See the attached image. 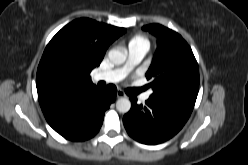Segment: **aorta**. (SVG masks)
<instances>
[{
    "instance_id": "aorta-1",
    "label": "aorta",
    "mask_w": 248,
    "mask_h": 165,
    "mask_svg": "<svg viewBox=\"0 0 248 165\" xmlns=\"http://www.w3.org/2000/svg\"><path fill=\"white\" fill-rule=\"evenodd\" d=\"M108 58L115 65H121L126 60L125 54L122 51L118 50V49H111L108 52ZM130 108H131V102H130L129 99L120 98V99L117 100L116 109L120 113H127V112H129Z\"/></svg>"
}]
</instances>
